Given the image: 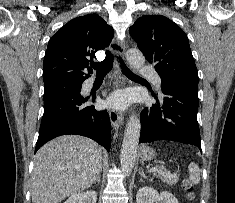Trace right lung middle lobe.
Masks as SVG:
<instances>
[{"instance_id": "1", "label": "right lung middle lobe", "mask_w": 235, "mask_h": 203, "mask_svg": "<svg viewBox=\"0 0 235 203\" xmlns=\"http://www.w3.org/2000/svg\"><path fill=\"white\" fill-rule=\"evenodd\" d=\"M81 84V82H62L44 86V102L68 93L71 90L79 89Z\"/></svg>"}]
</instances>
